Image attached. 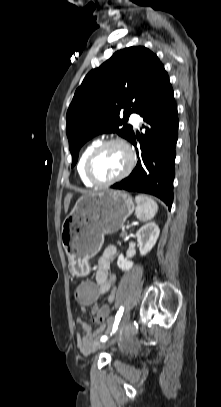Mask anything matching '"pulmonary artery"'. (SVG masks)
I'll use <instances>...</instances> for the list:
<instances>
[{
  "instance_id": "pulmonary-artery-1",
  "label": "pulmonary artery",
  "mask_w": 221,
  "mask_h": 407,
  "mask_svg": "<svg viewBox=\"0 0 221 407\" xmlns=\"http://www.w3.org/2000/svg\"><path fill=\"white\" fill-rule=\"evenodd\" d=\"M130 121L132 124H134L135 126H137L140 122V117L137 114H132L130 117Z\"/></svg>"
}]
</instances>
